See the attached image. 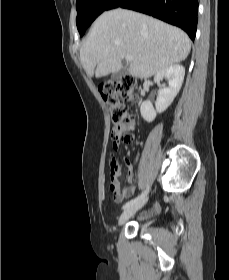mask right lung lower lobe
I'll return each instance as SVG.
<instances>
[{
    "label": "right lung lower lobe",
    "instance_id": "98d812e1",
    "mask_svg": "<svg viewBox=\"0 0 229 280\" xmlns=\"http://www.w3.org/2000/svg\"><path fill=\"white\" fill-rule=\"evenodd\" d=\"M119 7L145 13L178 26L192 40L196 36L198 0H115L109 9Z\"/></svg>",
    "mask_w": 229,
    "mask_h": 280
}]
</instances>
